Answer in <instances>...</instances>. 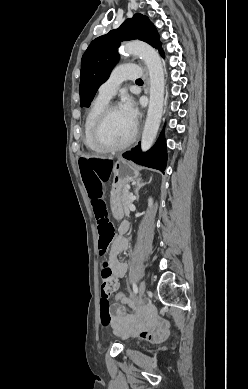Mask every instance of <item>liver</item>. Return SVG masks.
Instances as JSON below:
<instances>
[{
	"label": "liver",
	"instance_id": "liver-1",
	"mask_svg": "<svg viewBox=\"0 0 248 389\" xmlns=\"http://www.w3.org/2000/svg\"><path fill=\"white\" fill-rule=\"evenodd\" d=\"M84 157L85 158H90L91 156L90 155H84ZM96 157H98V156H96ZM100 158L105 159V157H100ZM110 159H112V158H110Z\"/></svg>",
	"mask_w": 248,
	"mask_h": 389
}]
</instances>
